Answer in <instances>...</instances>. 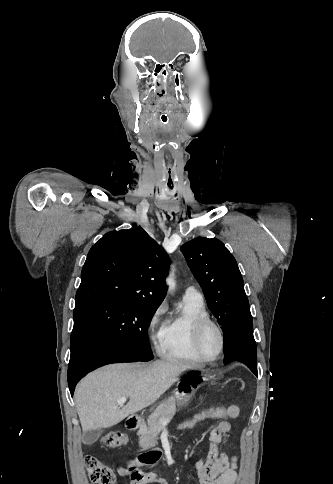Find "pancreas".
I'll use <instances>...</instances> for the list:
<instances>
[{
    "label": "pancreas",
    "mask_w": 333,
    "mask_h": 484,
    "mask_svg": "<svg viewBox=\"0 0 333 484\" xmlns=\"http://www.w3.org/2000/svg\"><path fill=\"white\" fill-rule=\"evenodd\" d=\"M177 399L174 396L169 397L161 404L147 419L139 431V445L147 450L154 448L158 444V435L160 434L164 420H171L177 409ZM157 449V448H156Z\"/></svg>",
    "instance_id": "cf45deb5"
}]
</instances>
